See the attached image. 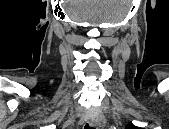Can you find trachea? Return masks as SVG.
<instances>
[{
	"label": "trachea",
	"mask_w": 169,
	"mask_h": 129,
	"mask_svg": "<svg viewBox=\"0 0 169 129\" xmlns=\"http://www.w3.org/2000/svg\"><path fill=\"white\" fill-rule=\"evenodd\" d=\"M84 129H94L92 127H90L88 124L85 125Z\"/></svg>",
	"instance_id": "3493384b"
}]
</instances>
